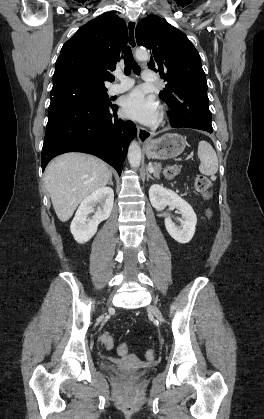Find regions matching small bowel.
<instances>
[{"mask_svg":"<svg viewBox=\"0 0 264 419\" xmlns=\"http://www.w3.org/2000/svg\"><path fill=\"white\" fill-rule=\"evenodd\" d=\"M125 345V343H123V344H121L120 346H119V350H118V352H119V355L120 356H126L128 353H124L123 351H122V349H123V346Z\"/></svg>","mask_w":264,"mask_h":419,"instance_id":"small-bowel-1","label":"small bowel"}]
</instances>
